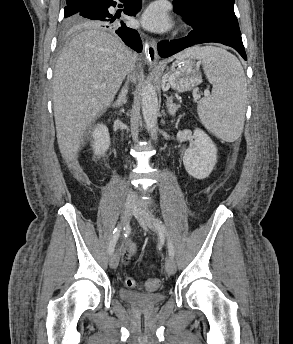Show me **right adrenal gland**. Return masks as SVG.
<instances>
[{"label": "right adrenal gland", "instance_id": "2a0ac1e0", "mask_svg": "<svg viewBox=\"0 0 293 344\" xmlns=\"http://www.w3.org/2000/svg\"><path fill=\"white\" fill-rule=\"evenodd\" d=\"M127 93H128V88H127V85H125L122 88L121 93L118 96V98L115 101V103L113 104V106L116 107V108H120L121 106L126 104V102H127Z\"/></svg>", "mask_w": 293, "mask_h": 344}]
</instances>
